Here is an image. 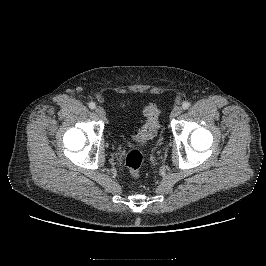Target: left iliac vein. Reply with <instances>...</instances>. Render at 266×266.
Segmentation results:
<instances>
[{
	"mask_svg": "<svg viewBox=\"0 0 266 266\" xmlns=\"http://www.w3.org/2000/svg\"><path fill=\"white\" fill-rule=\"evenodd\" d=\"M182 111H183L182 107L177 106V107H175V108L172 110V112H171V114H170V117H171V118H176V117H178V116L182 113Z\"/></svg>",
	"mask_w": 266,
	"mask_h": 266,
	"instance_id": "obj_1",
	"label": "left iliac vein"
}]
</instances>
